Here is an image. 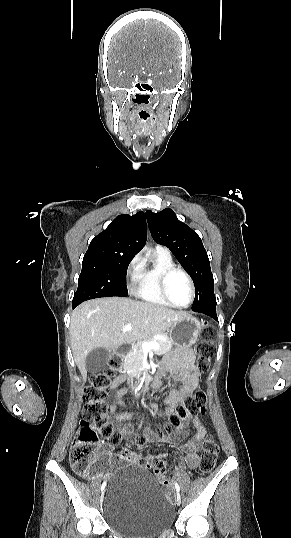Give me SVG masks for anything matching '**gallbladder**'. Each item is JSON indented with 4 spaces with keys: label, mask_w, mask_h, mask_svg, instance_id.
<instances>
[{
    "label": "gallbladder",
    "mask_w": 291,
    "mask_h": 538,
    "mask_svg": "<svg viewBox=\"0 0 291 538\" xmlns=\"http://www.w3.org/2000/svg\"><path fill=\"white\" fill-rule=\"evenodd\" d=\"M109 356L110 352L105 348L92 350L86 357V370L90 373L101 371L106 366Z\"/></svg>",
    "instance_id": "gallbladder-1"
}]
</instances>
